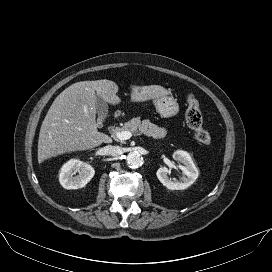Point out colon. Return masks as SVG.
<instances>
[{"label":"colon","mask_w":272,"mask_h":272,"mask_svg":"<svg viewBox=\"0 0 272 272\" xmlns=\"http://www.w3.org/2000/svg\"><path fill=\"white\" fill-rule=\"evenodd\" d=\"M186 113L185 119L189 128L194 132L196 139L204 144L209 145L212 141L211 135L203 127L202 115L197 98L189 93L186 96Z\"/></svg>","instance_id":"5ec220e1"}]
</instances>
